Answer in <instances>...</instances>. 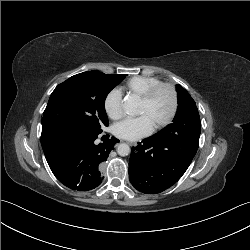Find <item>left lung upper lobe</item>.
Segmentation results:
<instances>
[{"mask_svg":"<svg viewBox=\"0 0 250 250\" xmlns=\"http://www.w3.org/2000/svg\"><path fill=\"white\" fill-rule=\"evenodd\" d=\"M178 92V108L177 113L174 117L173 123L169 124L167 127L159 131L157 134L162 135L167 132H171V128L177 125H183L188 122L200 121L198 109L196 107L195 101L189 95V93L180 85L176 87Z\"/></svg>","mask_w":250,"mask_h":250,"instance_id":"obj_1","label":"left lung upper lobe"}]
</instances>
